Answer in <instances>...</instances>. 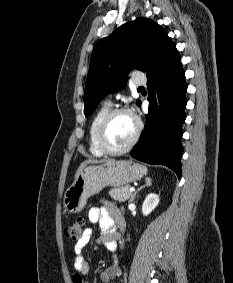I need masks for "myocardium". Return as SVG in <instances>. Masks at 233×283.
<instances>
[{
	"instance_id": "obj_1",
	"label": "myocardium",
	"mask_w": 233,
	"mask_h": 283,
	"mask_svg": "<svg viewBox=\"0 0 233 283\" xmlns=\"http://www.w3.org/2000/svg\"><path fill=\"white\" fill-rule=\"evenodd\" d=\"M122 113H127L133 117L135 121V125H136L135 132L127 145L119 149H112V148H109L105 143V133L112 119L115 116L122 114ZM141 129H142L141 121L129 108L118 107V108L111 109L106 114V116L103 118V120L101 121L98 127L97 134H96L97 146L104 154H107V155H120V154L126 153L138 141L140 133H141Z\"/></svg>"
}]
</instances>
